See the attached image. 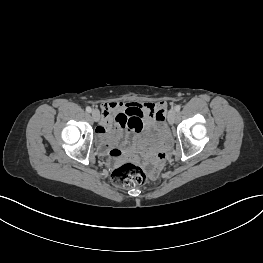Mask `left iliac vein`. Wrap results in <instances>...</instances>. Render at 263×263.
Segmentation results:
<instances>
[{
  "label": "left iliac vein",
  "mask_w": 263,
  "mask_h": 263,
  "mask_svg": "<svg viewBox=\"0 0 263 263\" xmlns=\"http://www.w3.org/2000/svg\"><path fill=\"white\" fill-rule=\"evenodd\" d=\"M176 117H177V111H176L175 109H171V110L169 111L168 117H167L168 122H169L170 124H173V123L175 122V120H176Z\"/></svg>",
  "instance_id": "obj_1"
}]
</instances>
